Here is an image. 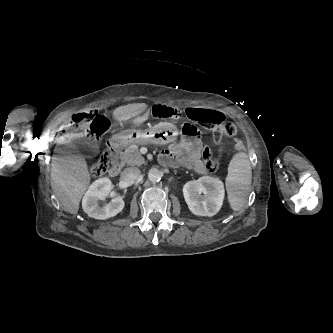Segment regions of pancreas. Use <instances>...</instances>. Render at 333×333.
Returning <instances> with one entry per match:
<instances>
[{"label": "pancreas", "instance_id": "cf45deb5", "mask_svg": "<svg viewBox=\"0 0 333 333\" xmlns=\"http://www.w3.org/2000/svg\"><path fill=\"white\" fill-rule=\"evenodd\" d=\"M123 164H128L131 166L142 165L145 161L141 153L139 152V147L136 144H132L127 147L121 157Z\"/></svg>", "mask_w": 333, "mask_h": 333}]
</instances>
